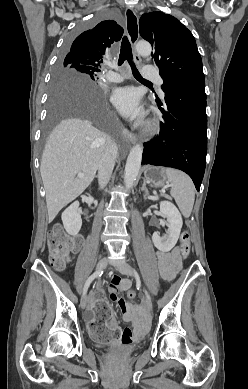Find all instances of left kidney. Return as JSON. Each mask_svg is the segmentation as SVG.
Listing matches in <instances>:
<instances>
[{"label":"left kidney","instance_id":"1","mask_svg":"<svg viewBox=\"0 0 248 389\" xmlns=\"http://www.w3.org/2000/svg\"><path fill=\"white\" fill-rule=\"evenodd\" d=\"M160 212L162 216L167 219V235L160 237V235L155 232L152 236V240L158 250L169 252L178 241L183 221L180 212L171 202H160Z\"/></svg>","mask_w":248,"mask_h":389}]
</instances>
